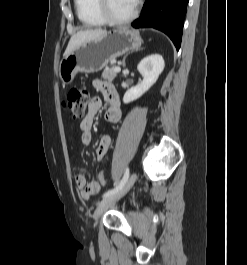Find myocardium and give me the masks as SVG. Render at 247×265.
I'll return each instance as SVG.
<instances>
[{
    "mask_svg": "<svg viewBox=\"0 0 247 265\" xmlns=\"http://www.w3.org/2000/svg\"><path fill=\"white\" fill-rule=\"evenodd\" d=\"M140 6L141 0H136L133 11L127 17L118 18L112 14L109 7V0H96V7L101 17L106 23L116 26L131 23L138 16Z\"/></svg>",
    "mask_w": 247,
    "mask_h": 265,
    "instance_id": "myocardium-1",
    "label": "myocardium"
}]
</instances>
